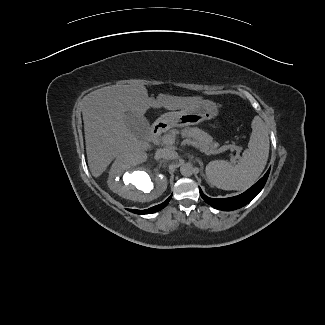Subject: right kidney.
<instances>
[{
  "label": "right kidney",
  "instance_id": "right-kidney-1",
  "mask_svg": "<svg viewBox=\"0 0 325 325\" xmlns=\"http://www.w3.org/2000/svg\"><path fill=\"white\" fill-rule=\"evenodd\" d=\"M145 162L146 158H117L109 172V188L132 201L149 202L161 196L167 188V179ZM122 176L124 183L120 180Z\"/></svg>",
  "mask_w": 325,
  "mask_h": 325
}]
</instances>
